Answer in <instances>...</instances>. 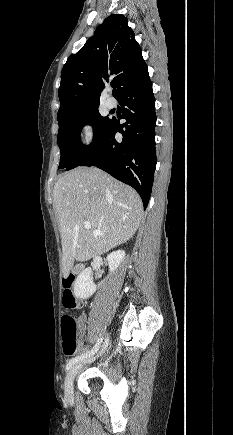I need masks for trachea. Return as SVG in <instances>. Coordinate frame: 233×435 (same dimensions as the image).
Returning a JSON list of instances; mask_svg holds the SVG:
<instances>
[{
  "label": "trachea",
  "mask_w": 233,
  "mask_h": 435,
  "mask_svg": "<svg viewBox=\"0 0 233 435\" xmlns=\"http://www.w3.org/2000/svg\"><path fill=\"white\" fill-rule=\"evenodd\" d=\"M113 86H114V82L111 83V87H113Z\"/></svg>",
  "instance_id": "1"
}]
</instances>
